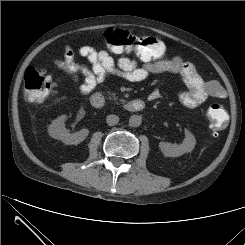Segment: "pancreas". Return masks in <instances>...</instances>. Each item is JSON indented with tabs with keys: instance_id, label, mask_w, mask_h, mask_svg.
Masks as SVG:
<instances>
[{
	"instance_id": "1",
	"label": "pancreas",
	"mask_w": 245,
	"mask_h": 245,
	"mask_svg": "<svg viewBox=\"0 0 245 245\" xmlns=\"http://www.w3.org/2000/svg\"><path fill=\"white\" fill-rule=\"evenodd\" d=\"M111 96H109V99L116 100L115 94L108 92Z\"/></svg>"
}]
</instances>
